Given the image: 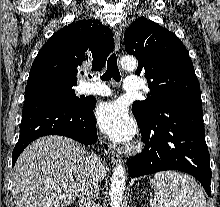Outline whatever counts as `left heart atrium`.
Returning <instances> with one entry per match:
<instances>
[{"label": "left heart atrium", "instance_id": "39dd6f15", "mask_svg": "<svg viewBox=\"0 0 220 207\" xmlns=\"http://www.w3.org/2000/svg\"><path fill=\"white\" fill-rule=\"evenodd\" d=\"M96 119L101 131L116 143L127 144L136 133L135 121L121 101L101 104L96 110Z\"/></svg>", "mask_w": 220, "mask_h": 207}]
</instances>
